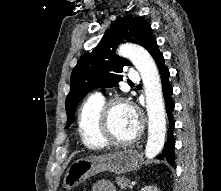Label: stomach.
I'll return each mask as SVG.
<instances>
[{
	"instance_id": "obj_1",
	"label": "stomach",
	"mask_w": 221,
	"mask_h": 191,
	"mask_svg": "<svg viewBox=\"0 0 221 191\" xmlns=\"http://www.w3.org/2000/svg\"><path fill=\"white\" fill-rule=\"evenodd\" d=\"M142 164L139 153L124 149L109 154L76 160L67 170L63 187L70 191L91 176L101 172L125 174L136 170Z\"/></svg>"
}]
</instances>
